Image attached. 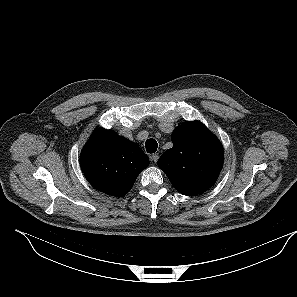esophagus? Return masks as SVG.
Wrapping results in <instances>:
<instances>
[{
	"mask_svg": "<svg viewBox=\"0 0 297 297\" xmlns=\"http://www.w3.org/2000/svg\"><path fill=\"white\" fill-rule=\"evenodd\" d=\"M158 158H159L158 153H155V154H153V155L151 156V160H152L153 162H155V163L157 162Z\"/></svg>",
	"mask_w": 297,
	"mask_h": 297,
	"instance_id": "esophagus-1",
	"label": "esophagus"
}]
</instances>
